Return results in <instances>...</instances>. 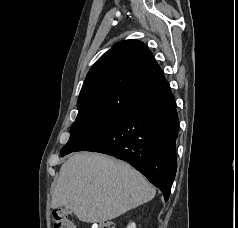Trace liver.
<instances>
[{
  "instance_id": "6515ba94",
  "label": "liver",
  "mask_w": 238,
  "mask_h": 228,
  "mask_svg": "<svg viewBox=\"0 0 238 228\" xmlns=\"http://www.w3.org/2000/svg\"><path fill=\"white\" fill-rule=\"evenodd\" d=\"M155 188L129 164L99 153H78L63 163L52 207L71 209L86 223L114 219L154 198Z\"/></svg>"
}]
</instances>
